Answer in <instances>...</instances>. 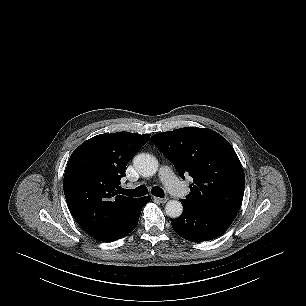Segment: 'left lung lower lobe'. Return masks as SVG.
I'll list each match as a JSON object with an SVG mask.
<instances>
[{"label":"left lung lower lobe","instance_id":"obj_1","mask_svg":"<svg viewBox=\"0 0 306 306\" xmlns=\"http://www.w3.org/2000/svg\"><path fill=\"white\" fill-rule=\"evenodd\" d=\"M182 215L171 221L175 232L192 242L212 240L222 235L235 217L218 212L196 209L184 202Z\"/></svg>","mask_w":306,"mask_h":306}]
</instances>
